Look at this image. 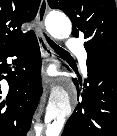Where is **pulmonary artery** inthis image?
Instances as JSON below:
<instances>
[{
  "mask_svg": "<svg viewBox=\"0 0 117 136\" xmlns=\"http://www.w3.org/2000/svg\"><path fill=\"white\" fill-rule=\"evenodd\" d=\"M67 47L69 50L77 53L79 60H80L81 69H82L83 73H86V71H87V66H86L87 52L82 47L81 43L76 39H69V41L67 43Z\"/></svg>",
  "mask_w": 117,
  "mask_h": 136,
  "instance_id": "e3ab8cb5",
  "label": "pulmonary artery"
}]
</instances>
